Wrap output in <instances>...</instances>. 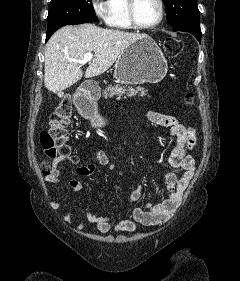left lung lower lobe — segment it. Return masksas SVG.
Segmentation results:
<instances>
[{
  "instance_id": "1",
  "label": "left lung lower lobe",
  "mask_w": 240,
  "mask_h": 281,
  "mask_svg": "<svg viewBox=\"0 0 240 281\" xmlns=\"http://www.w3.org/2000/svg\"><path fill=\"white\" fill-rule=\"evenodd\" d=\"M174 31H185L191 33L199 42L201 41L200 25L184 24L174 27Z\"/></svg>"
}]
</instances>
